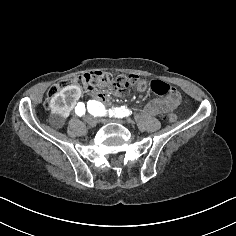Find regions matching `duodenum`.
<instances>
[{
	"label": "duodenum",
	"instance_id": "duodenum-1",
	"mask_svg": "<svg viewBox=\"0 0 236 236\" xmlns=\"http://www.w3.org/2000/svg\"><path fill=\"white\" fill-rule=\"evenodd\" d=\"M94 99H96L95 101L101 103L107 110L111 111V110H115V109H119L120 106L114 104L109 96L105 93H97L94 96Z\"/></svg>",
	"mask_w": 236,
	"mask_h": 236
}]
</instances>
